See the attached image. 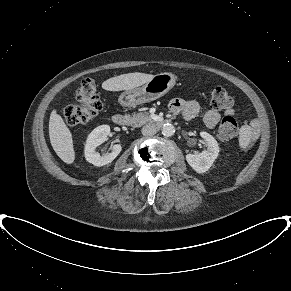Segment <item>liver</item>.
<instances>
[{
	"instance_id": "obj_1",
	"label": "liver",
	"mask_w": 291,
	"mask_h": 291,
	"mask_svg": "<svg viewBox=\"0 0 291 291\" xmlns=\"http://www.w3.org/2000/svg\"><path fill=\"white\" fill-rule=\"evenodd\" d=\"M153 77L154 75L140 72L122 74L104 81L102 88L107 91L131 90L144 85ZM49 137L50 143L60 159L67 164H72L75 160L72 134L55 109L50 114Z\"/></svg>"
}]
</instances>
